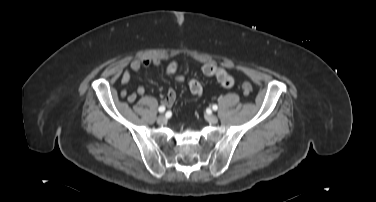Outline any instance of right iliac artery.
<instances>
[{
  "label": "right iliac artery",
  "mask_w": 376,
  "mask_h": 202,
  "mask_svg": "<svg viewBox=\"0 0 376 202\" xmlns=\"http://www.w3.org/2000/svg\"><path fill=\"white\" fill-rule=\"evenodd\" d=\"M158 110L160 113H163L165 111V106H160Z\"/></svg>",
  "instance_id": "82829eb1"
}]
</instances>
